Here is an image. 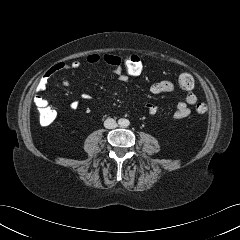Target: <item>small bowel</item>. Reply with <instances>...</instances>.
<instances>
[{"instance_id": "obj_1", "label": "small bowel", "mask_w": 240, "mask_h": 240, "mask_svg": "<svg viewBox=\"0 0 240 240\" xmlns=\"http://www.w3.org/2000/svg\"><path fill=\"white\" fill-rule=\"evenodd\" d=\"M112 57L117 58V56L115 55H109V54L100 55L97 53H93V54H89L86 60L91 65H98V64L104 63L110 66L113 69V72L118 76L119 80L122 82H126L128 80V76L125 75L119 67L113 66V64L110 61V58ZM81 66H82L81 62L77 60L72 61L71 63H65V62L55 63L46 71L44 77L39 83L38 90L44 91L46 89L47 80L53 74L59 71H64V70L76 71L80 69ZM62 85L65 87H69L71 84L68 80H64L62 82ZM174 88H175V85L172 81L161 80V81L152 83L149 87V90L153 94H162V93L171 92L172 90H174ZM81 97L84 100L91 99V95L88 93H83ZM196 101H197L196 95L194 93H188L182 101H179L175 104L174 111H173V118L176 120H180L187 117L191 113V107L196 103ZM34 103L37 106L48 104L47 100L43 98L40 94L35 95ZM78 105L79 104L77 101H72L69 106L71 109H77ZM146 108L149 114L151 115L156 114L158 111L157 106L152 103H147Z\"/></svg>"}]
</instances>
